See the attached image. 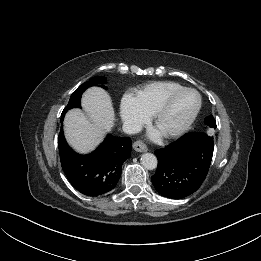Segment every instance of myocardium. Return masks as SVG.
I'll return each mask as SVG.
<instances>
[{
    "instance_id": "obj_1",
    "label": "myocardium",
    "mask_w": 261,
    "mask_h": 261,
    "mask_svg": "<svg viewBox=\"0 0 261 261\" xmlns=\"http://www.w3.org/2000/svg\"><path fill=\"white\" fill-rule=\"evenodd\" d=\"M184 92H193V93H195L197 95V98H198L197 106H196L194 112L191 114V116L179 128H177L175 130H172V131L161 132V134L165 138H174V137H178V136L184 134L192 126V124L196 120V118H197V116H198V114H199V112L201 110V107H202V97H201L200 93L196 89H194V88H190V87L180 88V89L175 90L172 93H170L162 101V103L159 105V107L156 109V111L152 115V122H153L154 126L157 127L160 119L165 114V112L168 110V108H169L170 104L172 103V101L178 95H180V94H182Z\"/></svg>"
}]
</instances>
